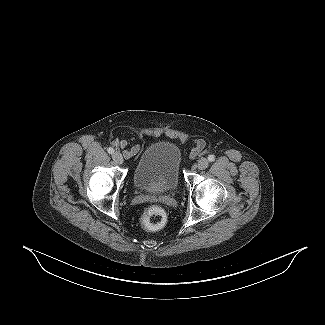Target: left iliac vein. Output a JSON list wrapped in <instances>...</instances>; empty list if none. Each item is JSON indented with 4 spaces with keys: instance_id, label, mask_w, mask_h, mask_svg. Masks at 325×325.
<instances>
[{
    "instance_id": "4c4485c4",
    "label": "left iliac vein",
    "mask_w": 325,
    "mask_h": 325,
    "mask_svg": "<svg viewBox=\"0 0 325 325\" xmlns=\"http://www.w3.org/2000/svg\"><path fill=\"white\" fill-rule=\"evenodd\" d=\"M209 162L206 158H201L197 163V168L200 170H204L208 167Z\"/></svg>"
}]
</instances>
